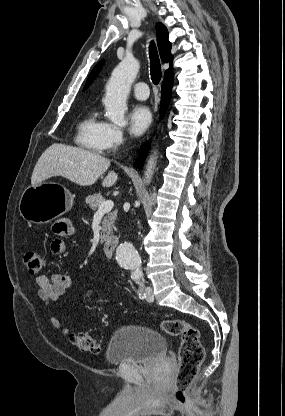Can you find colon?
Here are the masks:
<instances>
[{"label":"colon","instance_id":"5ec220e1","mask_svg":"<svg viewBox=\"0 0 285 416\" xmlns=\"http://www.w3.org/2000/svg\"><path fill=\"white\" fill-rule=\"evenodd\" d=\"M24 264L31 275H37L44 266V257L37 251H27L24 254ZM160 328L170 336L181 338L178 353L179 367L171 388V396L178 407L184 408L190 402L189 390L205 357L200 332L191 323L179 319L162 321ZM69 337L81 351L89 353L100 351V340L87 331L72 332Z\"/></svg>","mask_w":285,"mask_h":416}]
</instances>
